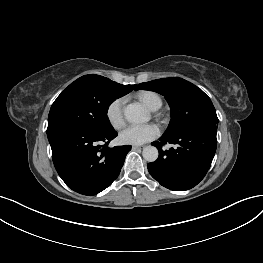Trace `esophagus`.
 <instances>
[{
  "mask_svg": "<svg viewBox=\"0 0 263 263\" xmlns=\"http://www.w3.org/2000/svg\"><path fill=\"white\" fill-rule=\"evenodd\" d=\"M142 148L143 146H137V145L132 146L133 150H141Z\"/></svg>",
  "mask_w": 263,
  "mask_h": 263,
  "instance_id": "34e87169",
  "label": "esophagus"
}]
</instances>
